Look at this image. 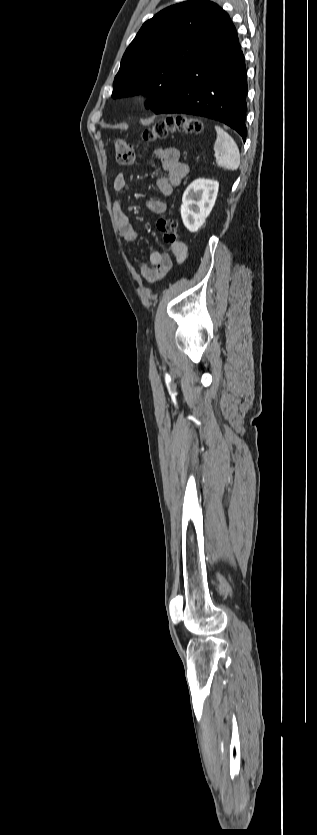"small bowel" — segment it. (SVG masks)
<instances>
[{
  "instance_id": "small-bowel-1",
  "label": "small bowel",
  "mask_w": 317,
  "mask_h": 835,
  "mask_svg": "<svg viewBox=\"0 0 317 835\" xmlns=\"http://www.w3.org/2000/svg\"><path fill=\"white\" fill-rule=\"evenodd\" d=\"M156 156L160 159L165 175L157 178L156 187L159 193L163 196H170L173 187L179 186L183 179L189 172V166L180 161L179 151L174 147H167L157 149ZM127 186L126 176L123 173H118L113 181V188L117 192L125 190ZM149 211L161 214L165 212L166 205L161 199H149L146 202ZM113 219L119 235L128 243L135 245L137 240V232L135 231L129 217L122 209L120 201H116L112 209ZM172 255L177 263H182L187 257V247L184 243L179 242L172 244L170 247ZM173 261L169 254L154 251L149 256L148 262H143L141 265V276L149 282H155L163 275H165L172 267Z\"/></svg>"
}]
</instances>
